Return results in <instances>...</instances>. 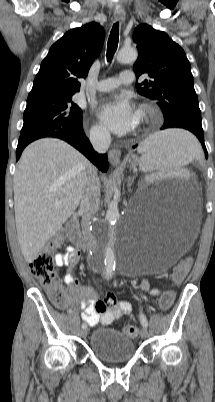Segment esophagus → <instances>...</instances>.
<instances>
[{
    "instance_id": "esophagus-1",
    "label": "esophagus",
    "mask_w": 215,
    "mask_h": 402,
    "mask_svg": "<svg viewBox=\"0 0 215 402\" xmlns=\"http://www.w3.org/2000/svg\"><path fill=\"white\" fill-rule=\"evenodd\" d=\"M114 18L117 21H123L125 19V12L123 10H116ZM109 160L112 165L118 166L121 161V151L119 149H111L109 151Z\"/></svg>"
}]
</instances>
